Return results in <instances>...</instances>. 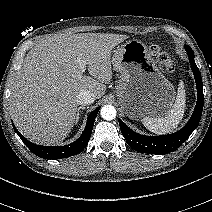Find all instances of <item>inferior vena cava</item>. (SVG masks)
<instances>
[{
  "instance_id": "1",
  "label": "inferior vena cava",
  "mask_w": 212,
  "mask_h": 212,
  "mask_svg": "<svg viewBox=\"0 0 212 212\" xmlns=\"http://www.w3.org/2000/svg\"><path fill=\"white\" fill-rule=\"evenodd\" d=\"M95 98V94L82 90L77 94V103L82 106L89 105L95 101Z\"/></svg>"
}]
</instances>
